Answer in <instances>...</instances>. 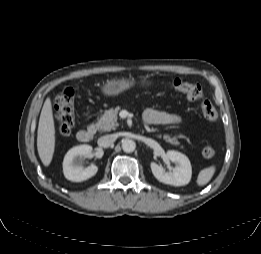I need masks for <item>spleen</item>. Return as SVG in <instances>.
<instances>
[{"instance_id": "spleen-1", "label": "spleen", "mask_w": 261, "mask_h": 254, "mask_svg": "<svg viewBox=\"0 0 261 254\" xmlns=\"http://www.w3.org/2000/svg\"><path fill=\"white\" fill-rule=\"evenodd\" d=\"M215 173V166H210L207 168L202 169L197 177V185L204 186L206 185L213 177Z\"/></svg>"}]
</instances>
